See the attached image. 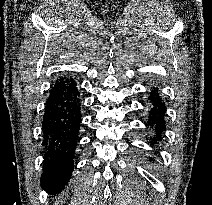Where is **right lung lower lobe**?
<instances>
[{"mask_svg": "<svg viewBox=\"0 0 212 205\" xmlns=\"http://www.w3.org/2000/svg\"><path fill=\"white\" fill-rule=\"evenodd\" d=\"M79 96L75 80L62 76L54 82L45 103L41 185L51 195L62 191L72 176L81 121Z\"/></svg>", "mask_w": 212, "mask_h": 205, "instance_id": "right-lung-lower-lobe-1", "label": "right lung lower lobe"}]
</instances>
